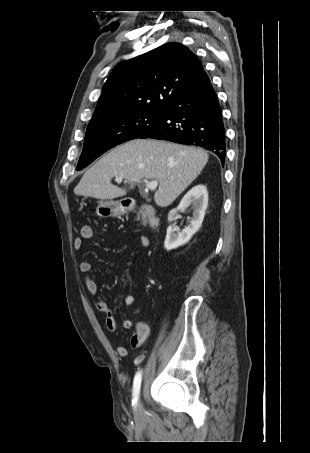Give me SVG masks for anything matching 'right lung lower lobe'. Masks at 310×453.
I'll return each mask as SVG.
<instances>
[{"mask_svg":"<svg viewBox=\"0 0 310 453\" xmlns=\"http://www.w3.org/2000/svg\"><path fill=\"white\" fill-rule=\"evenodd\" d=\"M138 138L201 146L214 152L224 164L226 144L222 109L207 74L169 103L163 109L160 121Z\"/></svg>","mask_w":310,"mask_h":453,"instance_id":"obj_1","label":"right lung lower lobe"}]
</instances>
